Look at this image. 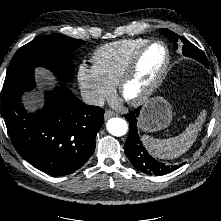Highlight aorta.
<instances>
[{"instance_id": "1", "label": "aorta", "mask_w": 221, "mask_h": 221, "mask_svg": "<svg viewBox=\"0 0 221 221\" xmlns=\"http://www.w3.org/2000/svg\"><path fill=\"white\" fill-rule=\"evenodd\" d=\"M106 128L107 131L113 136L120 137L127 133L128 124L124 119L114 117L108 120Z\"/></svg>"}]
</instances>
